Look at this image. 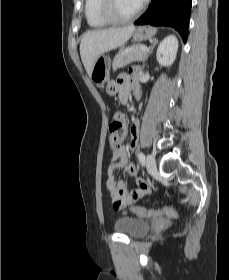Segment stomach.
<instances>
[{"mask_svg": "<svg viewBox=\"0 0 229 280\" xmlns=\"http://www.w3.org/2000/svg\"><path fill=\"white\" fill-rule=\"evenodd\" d=\"M156 32V28L141 26L133 32L132 39L134 42L150 40ZM110 66V58L107 56H100L93 64L89 75L90 79L97 84L108 82L110 78Z\"/></svg>", "mask_w": 229, "mask_h": 280, "instance_id": "obj_1", "label": "stomach"}]
</instances>
